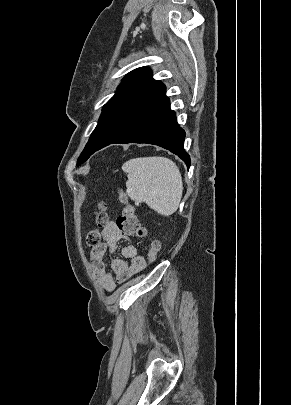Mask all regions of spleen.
Instances as JSON below:
<instances>
[{"label":"spleen","mask_w":291,"mask_h":405,"mask_svg":"<svg viewBox=\"0 0 291 405\" xmlns=\"http://www.w3.org/2000/svg\"><path fill=\"white\" fill-rule=\"evenodd\" d=\"M122 169L128 173L126 193L136 204L145 202L163 216L178 209L183 182L172 160L160 156L134 158L125 162Z\"/></svg>","instance_id":"3e777b00"}]
</instances>
